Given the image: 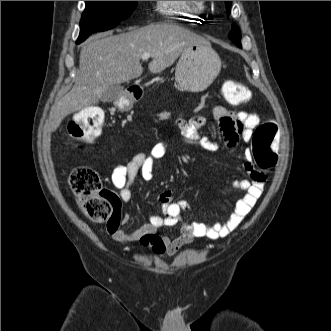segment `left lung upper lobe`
Returning <instances> with one entry per match:
<instances>
[{
    "label": "left lung upper lobe",
    "mask_w": 331,
    "mask_h": 331,
    "mask_svg": "<svg viewBox=\"0 0 331 331\" xmlns=\"http://www.w3.org/2000/svg\"><path fill=\"white\" fill-rule=\"evenodd\" d=\"M226 3V8L228 11H230V5H231V1H225ZM229 38L238 46H241L240 40H241V33H240V29L238 28V26L236 24H232V30L229 33Z\"/></svg>",
    "instance_id": "left-lung-upper-lobe-1"
}]
</instances>
